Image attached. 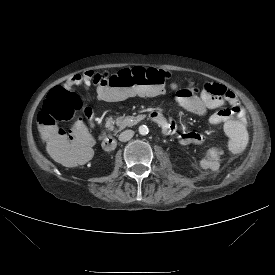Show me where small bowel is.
<instances>
[{
    "label": "small bowel",
    "mask_w": 275,
    "mask_h": 275,
    "mask_svg": "<svg viewBox=\"0 0 275 275\" xmlns=\"http://www.w3.org/2000/svg\"><path fill=\"white\" fill-rule=\"evenodd\" d=\"M92 77L93 74L91 72H87L84 75H74L66 81L64 86L81 85L88 87ZM170 88L176 91V100L185 110L199 117H207L208 122L213 126H223L228 136V146L232 153L238 154L246 147L248 142L247 121L244 111L232 91L209 81L201 84L200 93H197L195 85L191 83L181 88L177 82H172ZM144 97H153V95ZM225 104L229 107L224 108ZM156 115L162 116L158 113ZM162 117L164 118V124L160 126L163 133L165 135L176 133L177 125L175 120L170 117ZM87 119L89 125L94 127L93 117L87 114ZM73 129L82 135L84 134L82 125H76ZM180 140L184 143L196 145L203 141V136L200 132L193 130L188 133H182ZM223 155L224 148L221 144L210 143L206 145L199 160L201 169L211 174L220 172L223 167L221 160Z\"/></svg>",
    "instance_id": "1"
}]
</instances>
